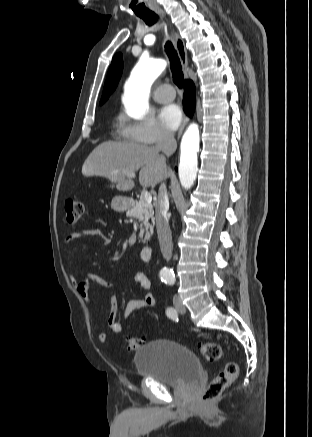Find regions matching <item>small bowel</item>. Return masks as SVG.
<instances>
[{
  "label": "small bowel",
  "instance_id": "1",
  "mask_svg": "<svg viewBox=\"0 0 312 437\" xmlns=\"http://www.w3.org/2000/svg\"><path fill=\"white\" fill-rule=\"evenodd\" d=\"M85 237H97L103 243H108L109 239L105 237L97 229L89 230H79L70 233L63 241V247L66 248L69 244L79 238ZM133 281L138 285L144 292V297L141 299H132L127 302L124 307V316L128 318L131 314L137 310L146 309L152 307L156 303V297L152 291V285L149 278L144 273H137L133 277ZM95 282L103 287H112L114 284L108 280L96 277L91 274H87L83 280L76 284V290L78 294L90 305H93V299L90 294V283ZM109 314L107 317V327L110 333L118 334L122 331V325L117 320L118 303L114 296L109 297ZM98 338L100 342L104 343L107 341L106 332L102 331L99 333Z\"/></svg>",
  "mask_w": 312,
  "mask_h": 437
}]
</instances>
